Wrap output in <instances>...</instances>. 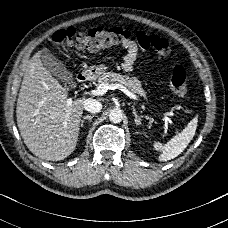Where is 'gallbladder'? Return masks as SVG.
Listing matches in <instances>:
<instances>
[{
    "instance_id": "gallbladder-1",
    "label": "gallbladder",
    "mask_w": 228,
    "mask_h": 228,
    "mask_svg": "<svg viewBox=\"0 0 228 228\" xmlns=\"http://www.w3.org/2000/svg\"><path fill=\"white\" fill-rule=\"evenodd\" d=\"M40 59L44 66L61 82L66 84L73 83V74L53 54L42 53Z\"/></svg>"
}]
</instances>
